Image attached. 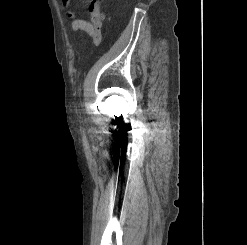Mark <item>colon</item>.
<instances>
[{
    "label": "colon",
    "instance_id": "colon-1",
    "mask_svg": "<svg viewBox=\"0 0 247 245\" xmlns=\"http://www.w3.org/2000/svg\"><path fill=\"white\" fill-rule=\"evenodd\" d=\"M91 10L95 7V0H90ZM97 17L101 20L102 15L98 12Z\"/></svg>",
    "mask_w": 247,
    "mask_h": 245
}]
</instances>
